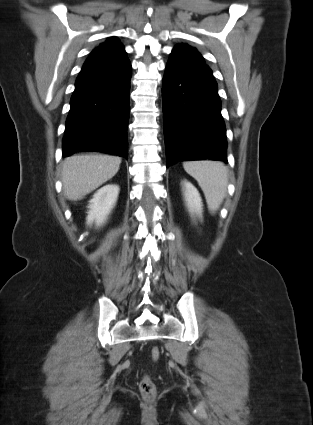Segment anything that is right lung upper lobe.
<instances>
[{"mask_svg": "<svg viewBox=\"0 0 313 425\" xmlns=\"http://www.w3.org/2000/svg\"><path fill=\"white\" fill-rule=\"evenodd\" d=\"M124 59L126 52L116 37H109L106 42L95 48L88 58Z\"/></svg>", "mask_w": 313, "mask_h": 425, "instance_id": "obj_1", "label": "right lung upper lobe"}]
</instances>
